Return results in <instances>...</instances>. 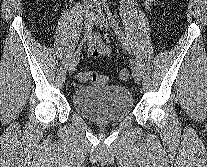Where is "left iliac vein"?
<instances>
[{
	"instance_id": "obj_1",
	"label": "left iliac vein",
	"mask_w": 207,
	"mask_h": 167,
	"mask_svg": "<svg viewBox=\"0 0 207 167\" xmlns=\"http://www.w3.org/2000/svg\"><path fill=\"white\" fill-rule=\"evenodd\" d=\"M98 14L96 15V24L100 27H104L106 30L111 29V24L110 22L102 15L101 10L97 9ZM131 70H132V75L137 84L140 83L141 81V71L139 66L135 61H131Z\"/></svg>"
}]
</instances>
